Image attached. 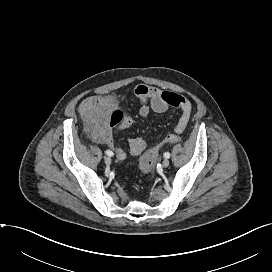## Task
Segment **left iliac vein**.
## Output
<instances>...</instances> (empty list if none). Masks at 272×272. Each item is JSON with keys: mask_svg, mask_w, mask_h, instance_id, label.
Returning a JSON list of instances; mask_svg holds the SVG:
<instances>
[{"mask_svg": "<svg viewBox=\"0 0 272 272\" xmlns=\"http://www.w3.org/2000/svg\"><path fill=\"white\" fill-rule=\"evenodd\" d=\"M162 164H163V167H168L170 162L168 159H165Z\"/></svg>", "mask_w": 272, "mask_h": 272, "instance_id": "1", "label": "left iliac vein"}]
</instances>
